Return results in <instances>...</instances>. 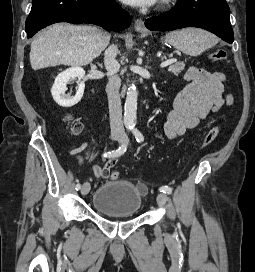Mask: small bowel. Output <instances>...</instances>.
Returning a JSON list of instances; mask_svg holds the SVG:
<instances>
[{"instance_id":"c3829d8e","label":"small bowel","mask_w":255,"mask_h":272,"mask_svg":"<svg viewBox=\"0 0 255 272\" xmlns=\"http://www.w3.org/2000/svg\"><path fill=\"white\" fill-rule=\"evenodd\" d=\"M184 79L190 84L179 92L171 109L165 112L164 132L173 140L187 131L196 128L210 113L232 104V95L226 91V76L222 72H210L195 66L189 67ZM80 149L75 150L76 158L82 162ZM89 158L90 154L87 152ZM115 159L110 157L103 167L93 165L92 170L97 178L111 177Z\"/></svg>"}]
</instances>
